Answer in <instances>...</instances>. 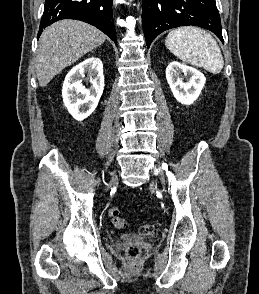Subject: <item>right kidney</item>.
Segmentation results:
<instances>
[{
	"label": "right kidney",
	"mask_w": 259,
	"mask_h": 294,
	"mask_svg": "<svg viewBox=\"0 0 259 294\" xmlns=\"http://www.w3.org/2000/svg\"><path fill=\"white\" fill-rule=\"evenodd\" d=\"M86 73L90 76V89H86L82 84ZM103 89L102 61L96 57L87 58L66 75L62 89L64 105L74 119L82 121L96 109Z\"/></svg>",
	"instance_id": "obj_1"
}]
</instances>
